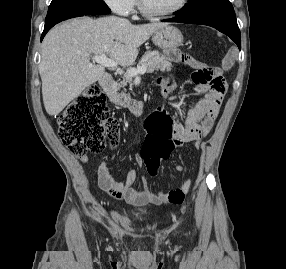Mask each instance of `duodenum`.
I'll return each instance as SVG.
<instances>
[{
  "label": "duodenum",
  "mask_w": 286,
  "mask_h": 269,
  "mask_svg": "<svg viewBox=\"0 0 286 269\" xmlns=\"http://www.w3.org/2000/svg\"><path fill=\"white\" fill-rule=\"evenodd\" d=\"M101 86L106 92L110 102L115 106H120L124 108H128L131 113L138 115L143 110V105L140 102L129 100L125 97L120 96L115 87V82L112 76L105 72L101 76L100 80Z\"/></svg>",
  "instance_id": "obj_1"
}]
</instances>
